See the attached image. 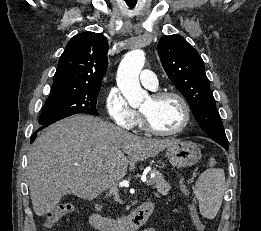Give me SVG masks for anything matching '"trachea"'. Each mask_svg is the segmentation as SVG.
<instances>
[{
  "label": "trachea",
  "instance_id": "trachea-1",
  "mask_svg": "<svg viewBox=\"0 0 261 231\" xmlns=\"http://www.w3.org/2000/svg\"><path fill=\"white\" fill-rule=\"evenodd\" d=\"M136 3H137V0H126V4H127L130 8L135 7Z\"/></svg>",
  "mask_w": 261,
  "mask_h": 231
}]
</instances>
